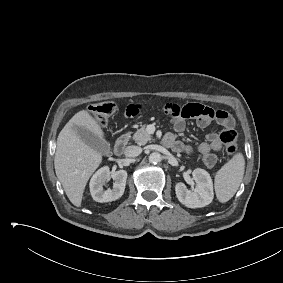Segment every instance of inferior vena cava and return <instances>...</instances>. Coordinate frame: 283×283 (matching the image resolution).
I'll return each mask as SVG.
<instances>
[{
    "label": "inferior vena cava",
    "instance_id": "inferior-vena-cava-1",
    "mask_svg": "<svg viewBox=\"0 0 283 283\" xmlns=\"http://www.w3.org/2000/svg\"><path fill=\"white\" fill-rule=\"evenodd\" d=\"M142 153V148L138 146H128L126 147L124 154L126 157L134 158Z\"/></svg>",
    "mask_w": 283,
    "mask_h": 283
}]
</instances>
